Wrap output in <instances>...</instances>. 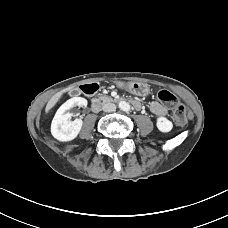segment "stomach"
I'll return each instance as SVG.
<instances>
[{"label":"stomach","mask_w":228,"mask_h":228,"mask_svg":"<svg viewBox=\"0 0 228 228\" xmlns=\"http://www.w3.org/2000/svg\"><path fill=\"white\" fill-rule=\"evenodd\" d=\"M120 85H122L120 83ZM129 92L138 96H147L150 92L149 86L146 83L139 81H131L124 85Z\"/></svg>","instance_id":"1"}]
</instances>
